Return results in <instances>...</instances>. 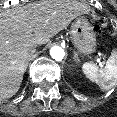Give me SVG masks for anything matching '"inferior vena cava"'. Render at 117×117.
Segmentation results:
<instances>
[{
	"instance_id": "602c4592",
	"label": "inferior vena cava",
	"mask_w": 117,
	"mask_h": 117,
	"mask_svg": "<svg viewBox=\"0 0 117 117\" xmlns=\"http://www.w3.org/2000/svg\"><path fill=\"white\" fill-rule=\"evenodd\" d=\"M27 53H28L29 56L34 57V56L37 55L38 50H37L36 47L31 46V47L28 48Z\"/></svg>"
}]
</instances>
